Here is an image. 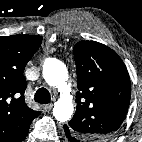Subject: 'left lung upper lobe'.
Instances as JSON below:
<instances>
[{"mask_svg":"<svg viewBox=\"0 0 142 142\" xmlns=\"http://www.w3.org/2000/svg\"><path fill=\"white\" fill-rule=\"evenodd\" d=\"M79 91L76 113L66 125L82 142H107L125 119L131 96L128 71L109 47L95 41L74 46Z\"/></svg>","mask_w":142,"mask_h":142,"instance_id":"left-lung-upper-lobe-1","label":"left lung upper lobe"}]
</instances>
